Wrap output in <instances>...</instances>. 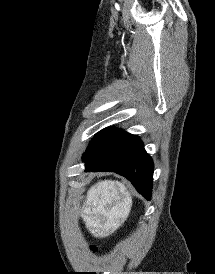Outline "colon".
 <instances>
[{
	"mask_svg": "<svg viewBox=\"0 0 215 274\" xmlns=\"http://www.w3.org/2000/svg\"><path fill=\"white\" fill-rule=\"evenodd\" d=\"M95 250H96V248H95V247H93L91 251H92V252H94Z\"/></svg>",
	"mask_w": 215,
	"mask_h": 274,
	"instance_id": "colon-1",
	"label": "colon"
}]
</instances>
